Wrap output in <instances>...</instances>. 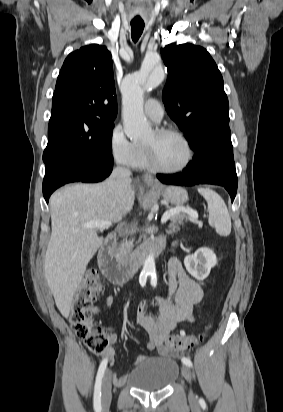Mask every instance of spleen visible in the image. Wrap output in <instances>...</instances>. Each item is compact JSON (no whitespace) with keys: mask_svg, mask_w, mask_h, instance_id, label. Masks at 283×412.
<instances>
[{"mask_svg":"<svg viewBox=\"0 0 283 412\" xmlns=\"http://www.w3.org/2000/svg\"><path fill=\"white\" fill-rule=\"evenodd\" d=\"M208 204L209 224L215 228L220 236L231 233V218L224 200L211 189H198Z\"/></svg>","mask_w":283,"mask_h":412,"instance_id":"3e777b00","label":"spleen"}]
</instances>
